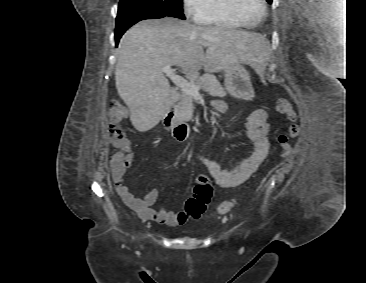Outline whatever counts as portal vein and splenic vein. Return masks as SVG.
<instances>
[{"instance_id": "obj_1", "label": "portal vein and splenic vein", "mask_w": 366, "mask_h": 283, "mask_svg": "<svg viewBox=\"0 0 366 283\" xmlns=\"http://www.w3.org/2000/svg\"><path fill=\"white\" fill-rule=\"evenodd\" d=\"M162 71L176 86L181 89L182 92L191 94L193 96L199 95L200 86L192 81H188L180 75H177L174 69H172L171 65L164 66Z\"/></svg>"}]
</instances>
